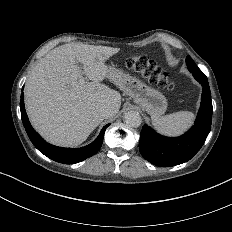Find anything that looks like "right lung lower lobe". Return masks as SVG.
Returning a JSON list of instances; mask_svg holds the SVG:
<instances>
[{"mask_svg":"<svg viewBox=\"0 0 232 232\" xmlns=\"http://www.w3.org/2000/svg\"><path fill=\"white\" fill-rule=\"evenodd\" d=\"M20 110H21V118H22L23 125L33 145L48 158L56 162L64 163V164L78 163L93 156L95 153H97L99 149L101 148L105 130L110 125V124H107L106 126H104L99 136L96 138V140L92 142L91 144H89L88 146L77 148V149L62 148V147H57V146L47 143L32 128L28 120L27 114L25 112L23 93L21 94V99H20Z\"/></svg>","mask_w":232,"mask_h":232,"instance_id":"right-lung-lower-lobe-1","label":"right lung lower lobe"}]
</instances>
